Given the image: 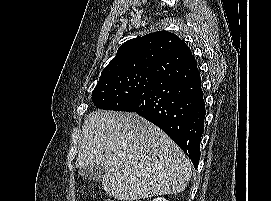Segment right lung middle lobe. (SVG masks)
<instances>
[{
	"instance_id": "obj_1",
	"label": "right lung middle lobe",
	"mask_w": 271,
	"mask_h": 201,
	"mask_svg": "<svg viewBox=\"0 0 271 201\" xmlns=\"http://www.w3.org/2000/svg\"><path fill=\"white\" fill-rule=\"evenodd\" d=\"M153 76L150 69L132 70L100 78L92 92L97 108L118 111L125 99L147 90Z\"/></svg>"
}]
</instances>
